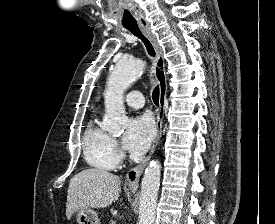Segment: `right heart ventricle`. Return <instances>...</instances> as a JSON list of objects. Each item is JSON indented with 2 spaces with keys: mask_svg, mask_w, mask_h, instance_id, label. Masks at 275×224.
Returning <instances> with one entry per match:
<instances>
[{
  "mask_svg": "<svg viewBox=\"0 0 275 224\" xmlns=\"http://www.w3.org/2000/svg\"><path fill=\"white\" fill-rule=\"evenodd\" d=\"M83 152L87 164L99 170H113L120 158L112 136L100 125L95 115L88 122L83 136Z\"/></svg>",
  "mask_w": 275,
  "mask_h": 224,
  "instance_id": "right-heart-ventricle-1",
  "label": "right heart ventricle"
}]
</instances>
